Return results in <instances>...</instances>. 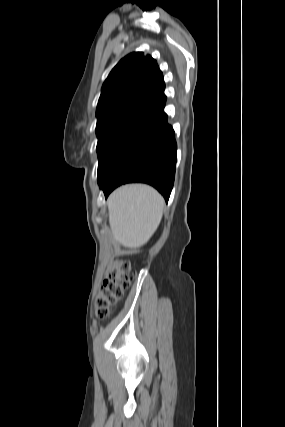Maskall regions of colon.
Segmentation results:
<instances>
[{"label": "colon", "mask_w": 285, "mask_h": 427, "mask_svg": "<svg viewBox=\"0 0 285 427\" xmlns=\"http://www.w3.org/2000/svg\"><path fill=\"white\" fill-rule=\"evenodd\" d=\"M133 278L134 272L129 263L120 261L113 264L95 301L96 315L100 319L109 315L110 308L122 298Z\"/></svg>", "instance_id": "colon-1"}]
</instances>
